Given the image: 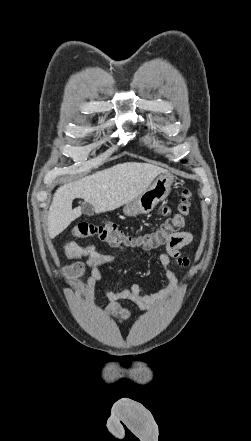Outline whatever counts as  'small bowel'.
Segmentation results:
<instances>
[{"mask_svg": "<svg viewBox=\"0 0 251 441\" xmlns=\"http://www.w3.org/2000/svg\"><path fill=\"white\" fill-rule=\"evenodd\" d=\"M192 240L193 235L188 231L177 232L168 240L165 251L158 257L167 279V286L153 294L142 293L137 284L118 290L106 288L100 266L113 263L116 257L99 252L92 244L81 246L73 241L66 242L63 245L65 254L70 258L84 261L64 266L61 272L74 279V287L92 307L96 304L95 290L99 288L108 301L106 308L108 316L121 323L131 318L130 311L122 306L121 301L131 302L143 310L150 311L162 305L173 295L178 285V278L170 269V265L175 263L178 266L187 267L190 264L189 259L182 255L181 250Z\"/></svg>", "mask_w": 251, "mask_h": 441, "instance_id": "obj_1", "label": "small bowel"}]
</instances>
